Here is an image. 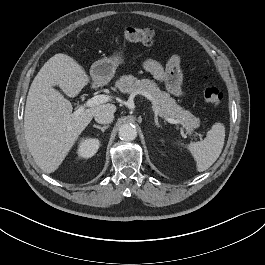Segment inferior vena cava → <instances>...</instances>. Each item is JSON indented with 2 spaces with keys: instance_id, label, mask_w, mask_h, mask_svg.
<instances>
[{
  "instance_id": "inferior-vena-cava-1",
  "label": "inferior vena cava",
  "mask_w": 265,
  "mask_h": 265,
  "mask_svg": "<svg viewBox=\"0 0 265 265\" xmlns=\"http://www.w3.org/2000/svg\"><path fill=\"white\" fill-rule=\"evenodd\" d=\"M114 119V112L109 109L98 111L95 114V121L100 124H109Z\"/></svg>"
}]
</instances>
